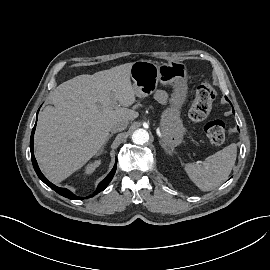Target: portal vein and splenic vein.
<instances>
[{
    "label": "portal vein and splenic vein",
    "instance_id": "portal-vein-and-splenic-vein-1",
    "mask_svg": "<svg viewBox=\"0 0 270 270\" xmlns=\"http://www.w3.org/2000/svg\"><path fill=\"white\" fill-rule=\"evenodd\" d=\"M112 106H113V107H117V106H118V103L116 102V100H113Z\"/></svg>",
    "mask_w": 270,
    "mask_h": 270
}]
</instances>
